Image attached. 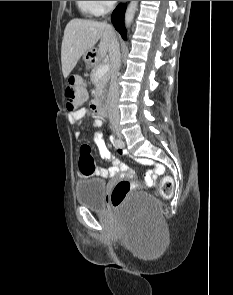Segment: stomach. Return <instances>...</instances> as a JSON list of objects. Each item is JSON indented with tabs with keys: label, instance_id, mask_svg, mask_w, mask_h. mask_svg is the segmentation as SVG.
I'll return each instance as SVG.
<instances>
[{
	"label": "stomach",
	"instance_id": "0dacf381",
	"mask_svg": "<svg viewBox=\"0 0 233 295\" xmlns=\"http://www.w3.org/2000/svg\"><path fill=\"white\" fill-rule=\"evenodd\" d=\"M90 51H87L84 55H83V59L85 61V63L90 66L91 65V60L92 57L89 55Z\"/></svg>",
	"mask_w": 233,
	"mask_h": 295
}]
</instances>
